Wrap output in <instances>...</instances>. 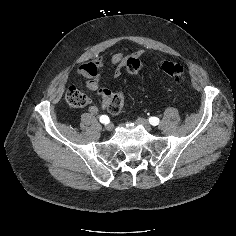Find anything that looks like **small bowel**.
Listing matches in <instances>:
<instances>
[{
	"instance_id": "1",
	"label": "small bowel",
	"mask_w": 236,
	"mask_h": 236,
	"mask_svg": "<svg viewBox=\"0 0 236 236\" xmlns=\"http://www.w3.org/2000/svg\"><path fill=\"white\" fill-rule=\"evenodd\" d=\"M142 51H137L132 55H126L122 52H113L110 56V64L114 67V78L120 77L122 70L125 68L129 57L141 56ZM103 60L100 57H96L91 62L84 63L79 66L78 73L87 79V88L96 93L101 98V107L107 108L109 101L111 100L113 93L111 90L105 87H101L99 83V76L103 70ZM98 107L91 105L88 109L90 114H97Z\"/></svg>"
}]
</instances>
